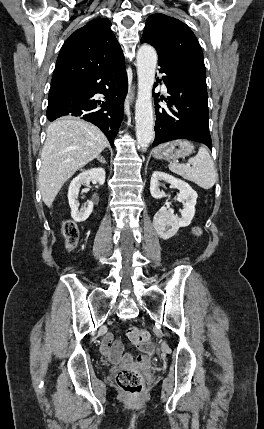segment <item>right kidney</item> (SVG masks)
I'll return each instance as SVG.
<instances>
[{
    "label": "right kidney",
    "mask_w": 264,
    "mask_h": 429,
    "mask_svg": "<svg viewBox=\"0 0 264 429\" xmlns=\"http://www.w3.org/2000/svg\"><path fill=\"white\" fill-rule=\"evenodd\" d=\"M96 180L100 185L105 182L104 168H92L83 171L76 176L70 183L68 189V201L71 208V216L75 222H84L92 213L93 202L87 201V205L79 209V190L81 185H88L90 181Z\"/></svg>",
    "instance_id": "ca27d5eb"
}]
</instances>
